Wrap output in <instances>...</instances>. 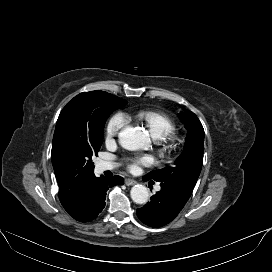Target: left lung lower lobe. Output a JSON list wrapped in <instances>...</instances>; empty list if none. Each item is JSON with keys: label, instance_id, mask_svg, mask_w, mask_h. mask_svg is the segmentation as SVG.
<instances>
[{"label": "left lung lower lobe", "instance_id": "obj_1", "mask_svg": "<svg viewBox=\"0 0 272 272\" xmlns=\"http://www.w3.org/2000/svg\"><path fill=\"white\" fill-rule=\"evenodd\" d=\"M160 186L161 190L151 197V201L136 210L138 218L150 227H162L171 222L189 199L172 186L163 183Z\"/></svg>", "mask_w": 272, "mask_h": 272}]
</instances>
